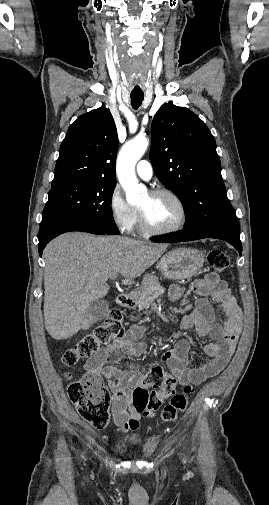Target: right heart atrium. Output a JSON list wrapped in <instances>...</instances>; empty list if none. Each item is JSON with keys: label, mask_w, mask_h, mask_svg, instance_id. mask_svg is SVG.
I'll return each mask as SVG.
<instances>
[{"label": "right heart atrium", "mask_w": 269, "mask_h": 505, "mask_svg": "<svg viewBox=\"0 0 269 505\" xmlns=\"http://www.w3.org/2000/svg\"><path fill=\"white\" fill-rule=\"evenodd\" d=\"M108 207L114 224L122 232L128 233L134 229L138 221V211L128 204L122 191L118 187L112 190L108 201Z\"/></svg>", "instance_id": "1"}]
</instances>
